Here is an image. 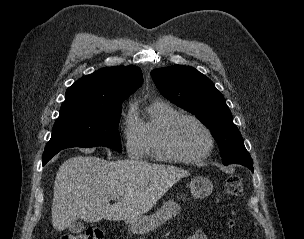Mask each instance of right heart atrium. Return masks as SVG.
Segmentation results:
<instances>
[{"label":"right heart atrium","instance_id":"d8ad5b80","mask_svg":"<svg viewBox=\"0 0 304 239\" xmlns=\"http://www.w3.org/2000/svg\"><path fill=\"white\" fill-rule=\"evenodd\" d=\"M122 135L127 153L132 157H139L143 153V139L140 121L133 108H129L124 117Z\"/></svg>","mask_w":304,"mask_h":239}]
</instances>
